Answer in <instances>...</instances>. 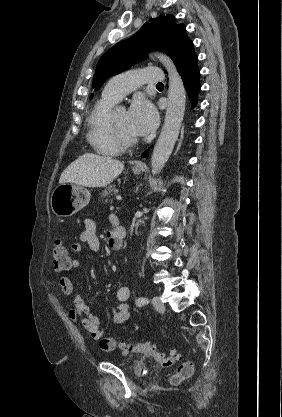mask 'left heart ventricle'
<instances>
[{
  "mask_svg": "<svg viewBox=\"0 0 282 417\" xmlns=\"http://www.w3.org/2000/svg\"><path fill=\"white\" fill-rule=\"evenodd\" d=\"M115 123L120 130V132L127 138H134L135 135L129 130L127 125V113L125 110L116 109L115 110ZM108 128L110 129V125L108 123Z\"/></svg>",
  "mask_w": 282,
  "mask_h": 417,
  "instance_id": "1",
  "label": "left heart ventricle"
}]
</instances>
